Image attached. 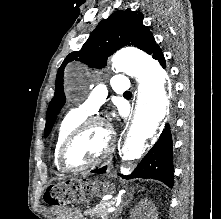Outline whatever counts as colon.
I'll use <instances>...</instances> for the list:
<instances>
[{
  "label": "colon",
  "instance_id": "obj_1",
  "mask_svg": "<svg viewBox=\"0 0 221 219\" xmlns=\"http://www.w3.org/2000/svg\"><path fill=\"white\" fill-rule=\"evenodd\" d=\"M67 191L59 185H56L47 192V199L50 203L57 207H68L72 199H66Z\"/></svg>",
  "mask_w": 221,
  "mask_h": 219
}]
</instances>
